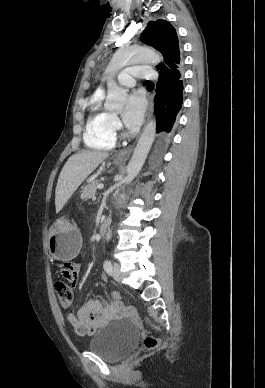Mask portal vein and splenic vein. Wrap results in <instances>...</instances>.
Masks as SVG:
<instances>
[{"mask_svg": "<svg viewBox=\"0 0 265 388\" xmlns=\"http://www.w3.org/2000/svg\"><path fill=\"white\" fill-rule=\"evenodd\" d=\"M97 188H100V190H101V188H104V186H103V184H99V186H97Z\"/></svg>", "mask_w": 265, "mask_h": 388, "instance_id": "1", "label": "portal vein and splenic vein"}]
</instances>
